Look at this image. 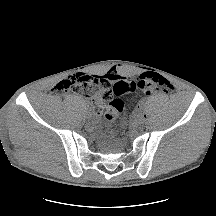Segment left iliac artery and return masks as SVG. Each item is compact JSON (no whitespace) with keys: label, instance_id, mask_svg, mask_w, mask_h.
I'll use <instances>...</instances> for the list:
<instances>
[{"label":"left iliac artery","instance_id":"44dca946","mask_svg":"<svg viewBox=\"0 0 216 216\" xmlns=\"http://www.w3.org/2000/svg\"><path fill=\"white\" fill-rule=\"evenodd\" d=\"M143 106H144V103L141 102V103L139 104L138 108H139V109H143Z\"/></svg>","mask_w":216,"mask_h":216}]
</instances>
